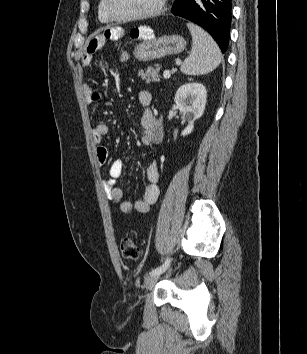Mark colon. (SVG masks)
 <instances>
[{"instance_id":"obj_1","label":"colon","mask_w":307,"mask_h":354,"mask_svg":"<svg viewBox=\"0 0 307 354\" xmlns=\"http://www.w3.org/2000/svg\"><path fill=\"white\" fill-rule=\"evenodd\" d=\"M117 58L120 62H126L129 58V54L126 51H119L117 53ZM120 250H121L122 256L126 259L135 260L139 256V251H138L136 244L129 237H123L120 240Z\"/></svg>"}]
</instances>
